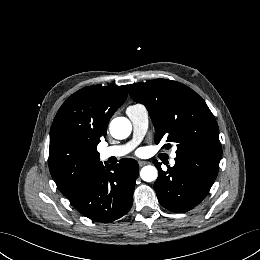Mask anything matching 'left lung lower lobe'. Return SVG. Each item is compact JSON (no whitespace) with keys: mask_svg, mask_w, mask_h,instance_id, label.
Returning a JSON list of instances; mask_svg holds the SVG:
<instances>
[{"mask_svg":"<svg viewBox=\"0 0 260 260\" xmlns=\"http://www.w3.org/2000/svg\"><path fill=\"white\" fill-rule=\"evenodd\" d=\"M219 156L201 153H181L173 167L161 169L154 161L159 176L154 184L158 200L173 212H186L198 205L214 183L220 162Z\"/></svg>","mask_w":260,"mask_h":260,"instance_id":"1","label":"left lung lower lobe"}]
</instances>
